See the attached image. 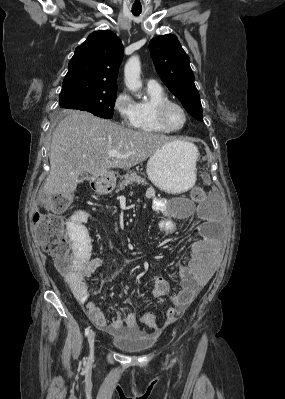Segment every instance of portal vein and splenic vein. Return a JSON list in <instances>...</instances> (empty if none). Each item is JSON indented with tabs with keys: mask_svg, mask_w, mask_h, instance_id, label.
Listing matches in <instances>:
<instances>
[{
	"mask_svg": "<svg viewBox=\"0 0 285 399\" xmlns=\"http://www.w3.org/2000/svg\"><path fill=\"white\" fill-rule=\"evenodd\" d=\"M108 155H109L110 157H113V158H125V157H126V155H122V154H120V153L117 152V151H109V152H108Z\"/></svg>",
	"mask_w": 285,
	"mask_h": 399,
	"instance_id": "obj_1",
	"label": "portal vein and splenic vein"
}]
</instances>
